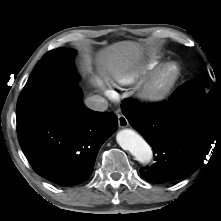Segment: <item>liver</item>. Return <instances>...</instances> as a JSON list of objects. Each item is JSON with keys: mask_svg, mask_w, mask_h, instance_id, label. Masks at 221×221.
I'll return each instance as SVG.
<instances>
[{"mask_svg": "<svg viewBox=\"0 0 221 221\" xmlns=\"http://www.w3.org/2000/svg\"><path fill=\"white\" fill-rule=\"evenodd\" d=\"M96 58L102 70H106L113 77L119 78L139 65L142 49L138 43L121 41L100 50Z\"/></svg>", "mask_w": 221, "mask_h": 221, "instance_id": "6515ba94", "label": "liver"}]
</instances>
